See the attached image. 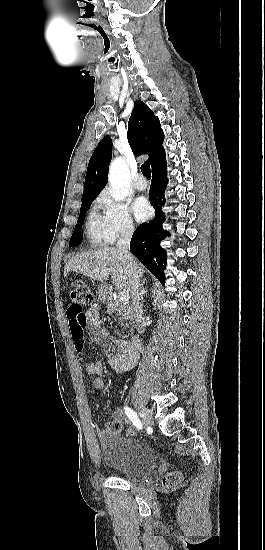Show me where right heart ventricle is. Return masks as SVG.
<instances>
[{"label": "right heart ventricle", "mask_w": 265, "mask_h": 550, "mask_svg": "<svg viewBox=\"0 0 265 550\" xmlns=\"http://www.w3.org/2000/svg\"><path fill=\"white\" fill-rule=\"evenodd\" d=\"M85 231L89 242L93 245H103L110 242L105 230L104 218L95 210L87 218Z\"/></svg>", "instance_id": "e07e8e85"}]
</instances>
